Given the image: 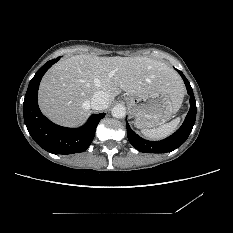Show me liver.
<instances>
[{
  "instance_id": "1",
  "label": "liver",
  "mask_w": 233,
  "mask_h": 233,
  "mask_svg": "<svg viewBox=\"0 0 233 233\" xmlns=\"http://www.w3.org/2000/svg\"><path fill=\"white\" fill-rule=\"evenodd\" d=\"M103 91L109 103L121 91L132 95L166 92L180 107L184 96L181 78L165 63L147 57L72 56L54 64L44 75L38 102L53 122L77 127L90 115V100Z\"/></svg>"
}]
</instances>
